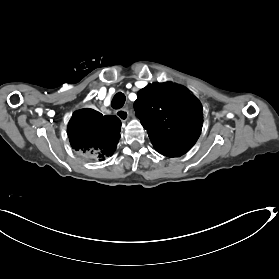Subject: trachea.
<instances>
[{
    "label": "trachea",
    "mask_w": 279,
    "mask_h": 279,
    "mask_svg": "<svg viewBox=\"0 0 279 279\" xmlns=\"http://www.w3.org/2000/svg\"><path fill=\"white\" fill-rule=\"evenodd\" d=\"M125 101H126V97H125L124 93L118 92L114 95L112 102H111V106L114 109H120L121 107L124 106Z\"/></svg>",
    "instance_id": "1"
}]
</instances>
